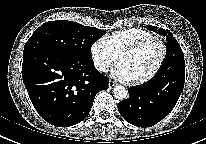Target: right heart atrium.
I'll list each match as a JSON object with an SVG mask.
<instances>
[{
    "instance_id": "1",
    "label": "right heart atrium",
    "mask_w": 206,
    "mask_h": 144,
    "mask_svg": "<svg viewBox=\"0 0 206 144\" xmlns=\"http://www.w3.org/2000/svg\"><path fill=\"white\" fill-rule=\"evenodd\" d=\"M90 54L94 67L102 73L113 66L118 57L104 38L97 39L91 44Z\"/></svg>"
}]
</instances>
